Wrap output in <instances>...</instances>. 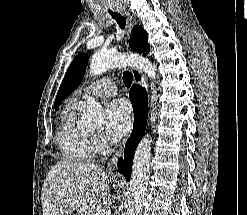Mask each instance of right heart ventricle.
<instances>
[{
    "label": "right heart ventricle",
    "instance_id": "obj_1",
    "mask_svg": "<svg viewBox=\"0 0 247 215\" xmlns=\"http://www.w3.org/2000/svg\"><path fill=\"white\" fill-rule=\"evenodd\" d=\"M79 108L77 102L66 105L57 132L58 146L65 159L72 162L89 161L96 151L93 134L77 123Z\"/></svg>",
    "mask_w": 247,
    "mask_h": 215
}]
</instances>
